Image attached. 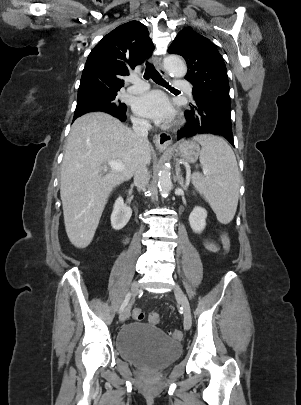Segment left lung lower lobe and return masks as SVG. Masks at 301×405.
I'll use <instances>...</instances> for the list:
<instances>
[{"instance_id":"1","label":"left lung lower lobe","mask_w":301,"mask_h":405,"mask_svg":"<svg viewBox=\"0 0 301 405\" xmlns=\"http://www.w3.org/2000/svg\"><path fill=\"white\" fill-rule=\"evenodd\" d=\"M231 109L210 102H196L185 112L187 124L177 133V140L200 134L222 136L234 146Z\"/></svg>"}]
</instances>
